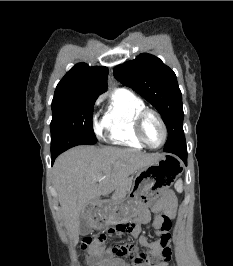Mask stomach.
<instances>
[{"label": "stomach", "mask_w": 233, "mask_h": 266, "mask_svg": "<svg viewBox=\"0 0 233 266\" xmlns=\"http://www.w3.org/2000/svg\"><path fill=\"white\" fill-rule=\"evenodd\" d=\"M182 161H177L174 152H163V156H158V161L138 170L131 180V188L128 190V199H135L137 206H145L151 201V197L160 193L169 185H178L183 167ZM125 201V196H118V199H111V204H100L95 214L96 227L120 228V225H128L131 216H119L116 204Z\"/></svg>", "instance_id": "0dacf381"}]
</instances>
